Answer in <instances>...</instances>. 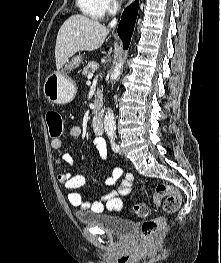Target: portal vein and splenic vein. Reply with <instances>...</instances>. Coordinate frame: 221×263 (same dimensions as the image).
I'll use <instances>...</instances> for the list:
<instances>
[{
	"mask_svg": "<svg viewBox=\"0 0 221 263\" xmlns=\"http://www.w3.org/2000/svg\"><path fill=\"white\" fill-rule=\"evenodd\" d=\"M93 76H94V74H93V73H90V74L88 75V79H89V80L92 79Z\"/></svg>",
	"mask_w": 221,
	"mask_h": 263,
	"instance_id": "obj_1",
	"label": "portal vein and splenic vein"
}]
</instances>
